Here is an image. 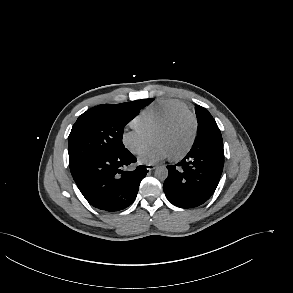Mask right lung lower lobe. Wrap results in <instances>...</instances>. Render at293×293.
<instances>
[{
  "instance_id": "obj_1",
  "label": "right lung lower lobe",
  "mask_w": 293,
  "mask_h": 293,
  "mask_svg": "<svg viewBox=\"0 0 293 293\" xmlns=\"http://www.w3.org/2000/svg\"><path fill=\"white\" fill-rule=\"evenodd\" d=\"M136 162L125 148L95 157L71 171L85 199L105 211H119L134 202L141 180L148 170L138 166L133 171L121 168Z\"/></svg>"
}]
</instances>
